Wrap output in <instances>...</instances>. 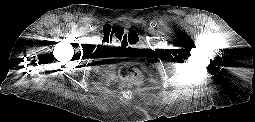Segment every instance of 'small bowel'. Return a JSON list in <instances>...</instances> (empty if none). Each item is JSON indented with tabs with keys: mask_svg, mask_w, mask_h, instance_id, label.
I'll list each match as a JSON object with an SVG mask.
<instances>
[{
	"mask_svg": "<svg viewBox=\"0 0 255 122\" xmlns=\"http://www.w3.org/2000/svg\"><path fill=\"white\" fill-rule=\"evenodd\" d=\"M108 26L110 25H105L104 29ZM103 37H104V43H103L104 48H110L113 45H116L117 43H121L115 36L107 35L105 32L103 34ZM130 42H134V41H130Z\"/></svg>",
	"mask_w": 255,
	"mask_h": 122,
	"instance_id": "c3829d8e",
	"label": "small bowel"
}]
</instances>
